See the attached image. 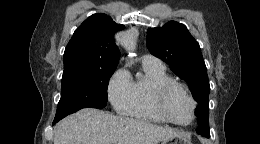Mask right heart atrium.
<instances>
[{
    "label": "right heart atrium",
    "instance_id": "obj_1",
    "mask_svg": "<svg viewBox=\"0 0 260 144\" xmlns=\"http://www.w3.org/2000/svg\"><path fill=\"white\" fill-rule=\"evenodd\" d=\"M132 82L125 68L118 69L107 85V96L113 108L125 113L131 101Z\"/></svg>",
    "mask_w": 260,
    "mask_h": 144
}]
</instances>
